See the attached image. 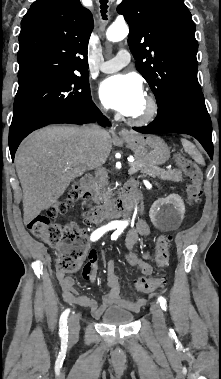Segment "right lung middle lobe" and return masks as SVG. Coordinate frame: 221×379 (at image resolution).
Here are the masks:
<instances>
[{"instance_id":"obj_1","label":"right lung middle lobe","mask_w":221,"mask_h":379,"mask_svg":"<svg viewBox=\"0 0 221 379\" xmlns=\"http://www.w3.org/2000/svg\"><path fill=\"white\" fill-rule=\"evenodd\" d=\"M62 73L19 83L9 129L15 143L48 119L87 105L92 99L88 72Z\"/></svg>"}]
</instances>
